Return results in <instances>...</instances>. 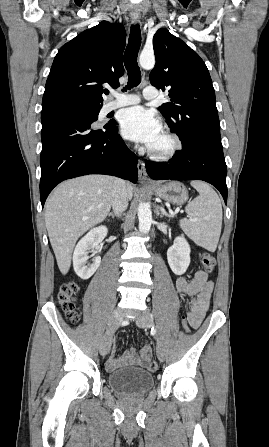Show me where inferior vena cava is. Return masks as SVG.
<instances>
[{"mask_svg":"<svg viewBox=\"0 0 269 447\" xmlns=\"http://www.w3.org/2000/svg\"><path fill=\"white\" fill-rule=\"evenodd\" d=\"M112 208L115 216H121L128 208V196L124 180L115 178L112 190Z\"/></svg>","mask_w":269,"mask_h":447,"instance_id":"1","label":"inferior vena cava"}]
</instances>
